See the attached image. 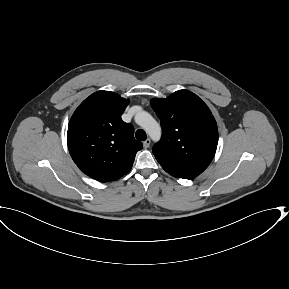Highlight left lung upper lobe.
I'll return each instance as SVG.
<instances>
[{
	"label": "left lung upper lobe",
	"instance_id": "left-lung-upper-lobe-1",
	"mask_svg": "<svg viewBox=\"0 0 289 289\" xmlns=\"http://www.w3.org/2000/svg\"><path fill=\"white\" fill-rule=\"evenodd\" d=\"M161 121L162 138L153 154L170 175L193 179L211 163L218 144L216 121L207 105L188 90L152 99Z\"/></svg>",
	"mask_w": 289,
	"mask_h": 289
}]
</instances>
